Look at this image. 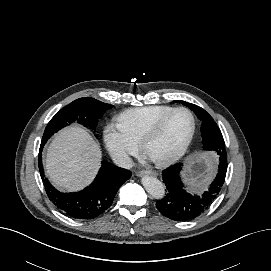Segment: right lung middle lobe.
<instances>
[{
  "instance_id": "dd1d6c3e",
  "label": "right lung middle lobe",
  "mask_w": 271,
  "mask_h": 271,
  "mask_svg": "<svg viewBox=\"0 0 271 271\" xmlns=\"http://www.w3.org/2000/svg\"><path fill=\"white\" fill-rule=\"evenodd\" d=\"M112 105L100 102L94 98H80L62 108L48 123L41 144L58 130L76 121L86 127L95 129L98 119Z\"/></svg>"
}]
</instances>
